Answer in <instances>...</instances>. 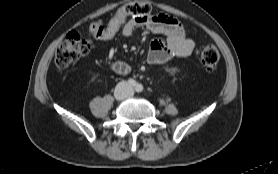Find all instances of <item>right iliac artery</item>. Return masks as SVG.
<instances>
[{
    "label": "right iliac artery",
    "instance_id": "1",
    "mask_svg": "<svg viewBox=\"0 0 278 174\" xmlns=\"http://www.w3.org/2000/svg\"><path fill=\"white\" fill-rule=\"evenodd\" d=\"M128 85L131 87H136L137 83L134 79H129L128 80Z\"/></svg>",
    "mask_w": 278,
    "mask_h": 174
}]
</instances>
